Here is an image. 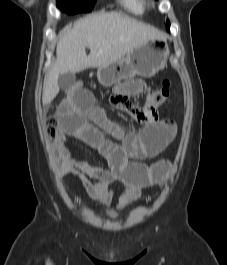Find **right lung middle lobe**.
<instances>
[{
  "instance_id": "obj_1",
  "label": "right lung middle lobe",
  "mask_w": 227,
  "mask_h": 265,
  "mask_svg": "<svg viewBox=\"0 0 227 265\" xmlns=\"http://www.w3.org/2000/svg\"><path fill=\"white\" fill-rule=\"evenodd\" d=\"M96 0H57V7L69 14L89 12Z\"/></svg>"
}]
</instances>
